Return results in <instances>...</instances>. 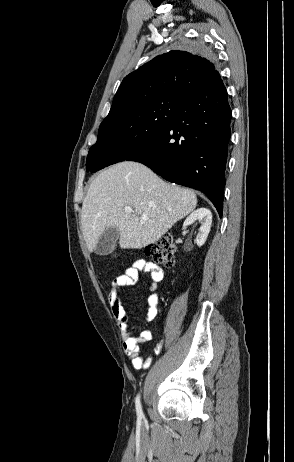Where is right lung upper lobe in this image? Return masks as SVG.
I'll return each instance as SVG.
<instances>
[{"label": "right lung upper lobe", "instance_id": "obj_1", "mask_svg": "<svg viewBox=\"0 0 294 462\" xmlns=\"http://www.w3.org/2000/svg\"><path fill=\"white\" fill-rule=\"evenodd\" d=\"M220 78L211 55L170 51L155 57L123 79L109 113L162 95L181 94L186 97Z\"/></svg>", "mask_w": 294, "mask_h": 462}]
</instances>
